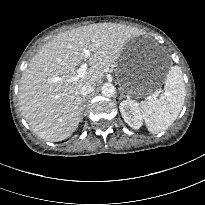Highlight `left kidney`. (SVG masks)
<instances>
[{"label":"left kidney","mask_w":205,"mask_h":205,"mask_svg":"<svg viewBox=\"0 0 205 205\" xmlns=\"http://www.w3.org/2000/svg\"><path fill=\"white\" fill-rule=\"evenodd\" d=\"M120 112L124 121L133 129H139L142 126V114L139 103L135 100L127 99L120 103Z\"/></svg>","instance_id":"obj_1"}]
</instances>
